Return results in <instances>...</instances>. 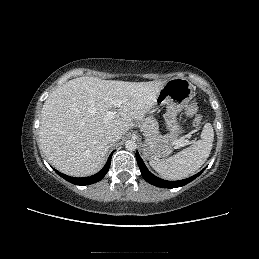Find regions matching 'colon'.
<instances>
[{
  "mask_svg": "<svg viewBox=\"0 0 259 259\" xmlns=\"http://www.w3.org/2000/svg\"><path fill=\"white\" fill-rule=\"evenodd\" d=\"M185 114L193 119V125L199 127L202 123V117L198 111V105L196 99L192 98L185 109Z\"/></svg>",
  "mask_w": 259,
  "mask_h": 259,
  "instance_id": "colon-1",
  "label": "colon"
}]
</instances>
